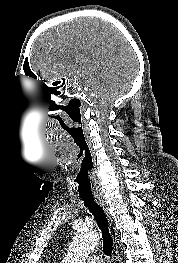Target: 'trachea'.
Segmentation results:
<instances>
[{"label": "trachea", "mask_w": 178, "mask_h": 263, "mask_svg": "<svg viewBox=\"0 0 178 263\" xmlns=\"http://www.w3.org/2000/svg\"><path fill=\"white\" fill-rule=\"evenodd\" d=\"M90 171V167H81L76 179L78 192L85 206L94 215V218L101 229L104 254L111 256L113 250V240L109 232V223L104 210L94 200L93 186L90 180Z\"/></svg>", "instance_id": "obj_1"}]
</instances>
